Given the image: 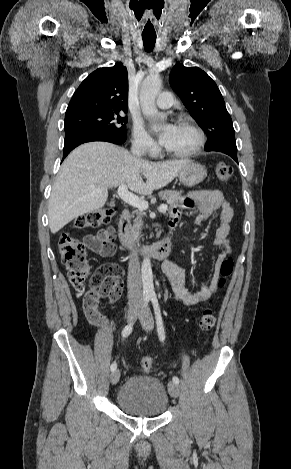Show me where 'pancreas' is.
<instances>
[{
	"label": "pancreas",
	"mask_w": 291,
	"mask_h": 469,
	"mask_svg": "<svg viewBox=\"0 0 291 469\" xmlns=\"http://www.w3.org/2000/svg\"><path fill=\"white\" fill-rule=\"evenodd\" d=\"M159 197L162 200H166L167 203L171 206H177L180 200L182 199V192L181 191H173V190H165L159 192ZM144 215L142 211H139L137 213V218L134 221L133 226L131 227V236L134 239H138L140 236V231L143 226V222L141 220V217Z\"/></svg>",
	"instance_id": "cf45deb5"
}]
</instances>
